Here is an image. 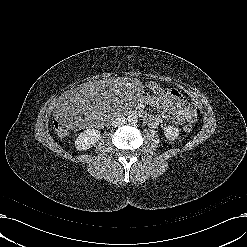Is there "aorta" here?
<instances>
[{
	"mask_svg": "<svg viewBox=\"0 0 247 247\" xmlns=\"http://www.w3.org/2000/svg\"><path fill=\"white\" fill-rule=\"evenodd\" d=\"M128 122L130 124H132V125L137 124V122H138L137 116L136 115H130V116H128Z\"/></svg>",
	"mask_w": 247,
	"mask_h": 247,
	"instance_id": "obj_1",
	"label": "aorta"
}]
</instances>
